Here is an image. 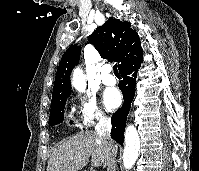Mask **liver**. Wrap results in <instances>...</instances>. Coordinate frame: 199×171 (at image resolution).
<instances>
[{
    "mask_svg": "<svg viewBox=\"0 0 199 171\" xmlns=\"http://www.w3.org/2000/svg\"><path fill=\"white\" fill-rule=\"evenodd\" d=\"M116 155V144L109 146L96 132L80 131L54 149L47 171H78L87 165L90 157L92 166H107Z\"/></svg>",
    "mask_w": 199,
    "mask_h": 171,
    "instance_id": "6515ba94",
    "label": "liver"
}]
</instances>
